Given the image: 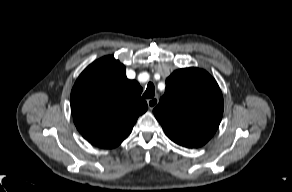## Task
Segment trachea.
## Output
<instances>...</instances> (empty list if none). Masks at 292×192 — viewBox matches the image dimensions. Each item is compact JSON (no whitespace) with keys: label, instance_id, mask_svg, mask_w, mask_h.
<instances>
[{"label":"trachea","instance_id":"trachea-1","mask_svg":"<svg viewBox=\"0 0 292 192\" xmlns=\"http://www.w3.org/2000/svg\"><path fill=\"white\" fill-rule=\"evenodd\" d=\"M155 93V87L152 83H149L147 85L146 91L143 94V97L145 98H153Z\"/></svg>","mask_w":292,"mask_h":192}]
</instances>
